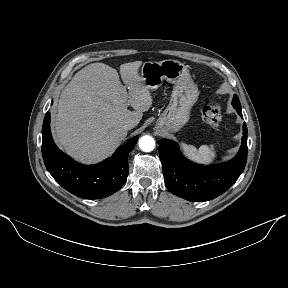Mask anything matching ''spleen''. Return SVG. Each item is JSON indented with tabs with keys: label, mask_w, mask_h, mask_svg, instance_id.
Here are the masks:
<instances>
[{
	"label": "spleen",
	"mask_w": 288,
	"mask_h": 288,
	"mask_svg": "<svg viewBox=\"0 0 288 288\" xmlns=\"http://www.w3.org/2000/svg\"><path fill=\"white\" fill-rule=\"evenodd\" d=\"M181 146L187 157L195 162L209 164L216 158L214 145H202L199 149L185 143H182Z\"/></svg>",
	"instance_id": "obj_1"
}]
</instances>
